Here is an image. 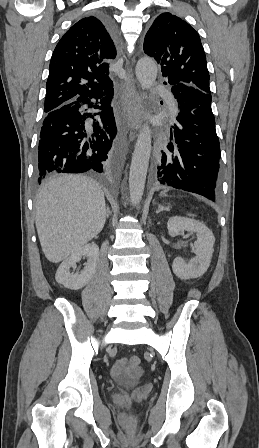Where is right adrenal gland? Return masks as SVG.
<instances>
[{
    "instance_id": "2a0ac1e0",
    "label": "right adrenal gland",
    "mask_w": 259,
    "mask_h": 448,
    "mask_svg": "<svg viewBox=\"0 0 259 448\" xmlns=\"http://www.w3.org/2000/svg\"><path fill=\"white\" fill-rule=\"evenodd\" d=\"M109 214H110V212H108V214H107V218H108Z\"/></svg>"
}]
</instances>
